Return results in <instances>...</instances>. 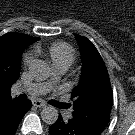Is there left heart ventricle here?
Here are the masks:
<instances>
[{
  "label": "left heart ventricle",
  "instance_id": "obj_1",
  "mask_svg": "<svg viewBox=\"0 0 135 135\" xmlns=\"http://www.w3.org/2000/svg\"><path fill=\"white\" fill-rule=\"evenodd\" d=\"M53 83H54V78H53V76L51 75V76L48 78L47 85L50 87V86H52Z\"/></svg>",
  "mask_w": 135,
  "mask_h": 135
}]
</instances>
